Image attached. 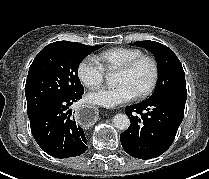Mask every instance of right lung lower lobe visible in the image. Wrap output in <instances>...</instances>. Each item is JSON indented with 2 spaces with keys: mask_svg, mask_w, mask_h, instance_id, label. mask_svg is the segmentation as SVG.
<instances>
[{
  "mask_svg": "<svg viewBox=\"0 0 209 179\" xmlns=\"http://www.w3.org/2000/svg\"><path fill=\"white\" fill-rule=\"evenodd\" d=\"M82 95L54 100L29 116L32 135L47 154L68 158L87 150L85 134L71 118L70 109Z\"/></svg>",
  "mask_w": 209,
  "mask_h": 179,
  "instance_id": "98d812e1",
  "label": "right lung lower lobe"
}]
</instances>
